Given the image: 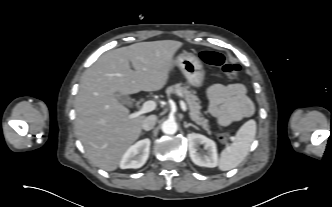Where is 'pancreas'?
<instances>
[{"label": "pancreas", "mask_w": 332, "mask_h": 207, "mask_svg": "<svg viewBox=\"0 0 332 207\" xmlns=\"http://www.w3.org/2000/svg\"><path fill=\"white\" fill-rule=\"evenodd\" d=\"M178 90L184 96L188 107L189 114L192 121H194L197 125L201 126L203 129L207 131L209 135H211V131L208 125V120L202 117L201 106L199 99L194 95L193 91L188 90L186 87L181 86V84H175L167 88V93H175ZM219 136V135H218Z\"/></svg>", "instance_id": "1"}]
</instances>
